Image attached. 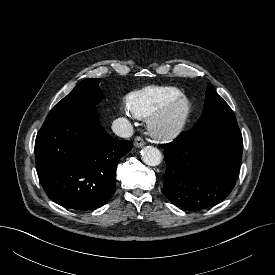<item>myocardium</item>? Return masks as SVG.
Wrapping results in <instances>:
<instances>
[{
    "mask_svg": "<svg viewBox=\"0 0 275 275\" xmlns=\"http://www.w3.org/2000/svg\"><path fill=\"white\" fill-rule=\"evenodd\" d=\"M192 112V103L186 95H179L148 117V130L158 139L179 135L187 126Z\"/></svg>",
    "mask_w": 275,
    "mask_h": 275,
    "instance_id": "f54148a6",
    "label": "myocardium"
}]
</instances>
